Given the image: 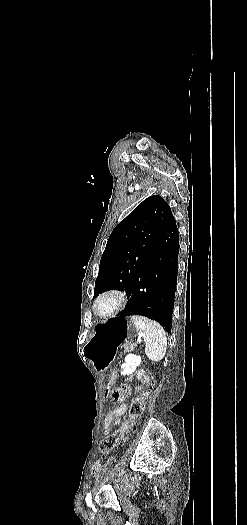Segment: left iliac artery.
Masks as SVG:
<instances>
[{
	"label": "left iliac artery",
	"mask_w": 247,
	"mask_h": 525,
	"mask_svg": "<svg viewBox=\"0 0 247 525\" xmlns=\"http://www.w3.org/2000/svg\"><path fill=\"white\" fill-rule=\"evenodd\" d=\"M91 498H92L91 493H88L87 496H86V503H87V505H88L89 507L92 506V500H91Z\"/></svg>",
	"instance_id": "left-iliac-artery-1"
}]
</instances>
